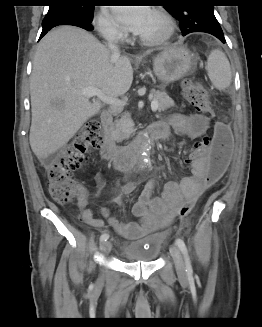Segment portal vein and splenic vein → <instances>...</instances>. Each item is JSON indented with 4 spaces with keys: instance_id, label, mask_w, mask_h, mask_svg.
<instances>
[{
    "instance_id": "18ae733b",
    "label": "portal vein and splenic vein",
    "mask_w": 262,
    "mask_h": 327,
    "mask_svg": "<svg viewBox=\"0 0 262 327\" xmlns=\"http://www.w3.org/2000/svg\"><path fill=\"white\" fill-rule=\"evenodd\" d=\"M81 93L87 97H93V96H97L99 97L103 102L109 104V105H113V106H119L122 104V102L118 99H114V98H108L106 97L99 89L97 88H92V87H88L85 88L81 91ZM151 109L152 111H156L158 109V101L156 99H153L151 102Z\"/></svg>"
}]
</instances>
